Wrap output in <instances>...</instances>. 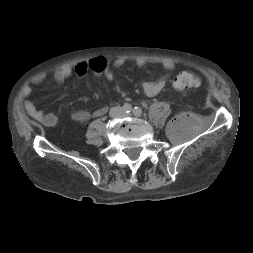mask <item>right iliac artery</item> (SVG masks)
Segmentation results:
<instances>
[{
	"instance_id": "obj_1",
	"label": "right iliac artery",
	"mask_w": 253,
	"mask_h": 253,
	"mask_svg": "<svg viewBox=\"0 0 253 253\" xmlns=\"http://www.w3.org/2000/svg\"><path fill=\"white\" fill-rule=\"evenodd\" d=\"M123 110H124L126 113H130V112L133 111L132 106H131L130 104H125V105L123 106Z\"/></svg>"
}]
</instances>
